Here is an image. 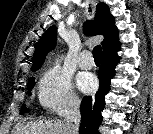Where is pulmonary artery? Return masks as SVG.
I'll use <instances>...</instances> for the list:
<instances>
[{"label":"pulmonary artery","instance_id":"pulmonary-artery-1","mask_svg":"<svg viewBox=\"0 0 153 134\" xmlns=\"http://www.w3.org/2000/svg\"><path fill=\"white\" fill-rule=\"evenodd\" d=\"M94 65L92 55L89 51L85 50L80 54L79 66L83 69H91Z\"/></svg>","mask_w":153,"mask_h":134}]
</instances>
